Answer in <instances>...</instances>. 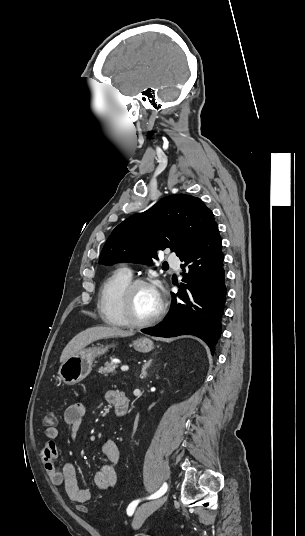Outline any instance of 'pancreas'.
Returning <instances> with one entry per match:
<instances>
[{"instance_id":"cf45deb5","label":"pancreas","mask_w":305,"mask_h":536,"mask_svg":"<svg viewBox=\"0 0 305 536\" xmlns=\"http://www.w3.org/2000/svg\"><path fill=\"white\" fill-rule=\"evenodd\" d=\"M116 368H118V364H114V362H106L105 368H99L98 372L99 374H104V376H114L116 374Z\"/></svg>"}]
</instances>
